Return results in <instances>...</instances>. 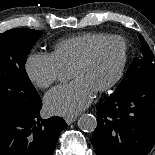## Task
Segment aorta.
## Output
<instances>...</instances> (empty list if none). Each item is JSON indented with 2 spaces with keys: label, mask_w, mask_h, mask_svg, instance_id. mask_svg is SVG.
Masks as SVG:
<instances>
[{
  "label": "aorta",
  "mask_w": 155,
  "mask_h": 155,
  "mask_svg": "<svg viewBox=\"0 0 155 155\" xmlns=\"http://www.w3.org/2000/svg\"><path fill=\"white\" fill-rule=\"evenodd\" d=\"M78 127L84 132H93L97 127V119L92 114H83L78 119Z\"/></svg>",
  "instance_id": "1"
}]
</instances>
